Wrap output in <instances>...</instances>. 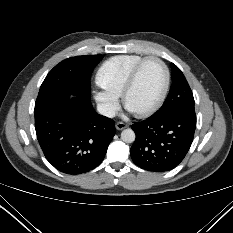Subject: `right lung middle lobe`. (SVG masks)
<instances>
[{
  "mask_svg": "<svg viewBox=\"0 0 233 233\" xmlns=\"http://www.w3.org/2000/svg\"><path fill=\"white\" fill-rule=\"evenodd\" d=\"M102 55L71 57L56 65L43 81L35 105L69 94L90 99V78Z\"/></svg>",
  "mask_w": 233,
  "mask_h": 233,
  "instance_id": "obj_1",
  "label": "right lung middle lobe"
}]
</instances>
